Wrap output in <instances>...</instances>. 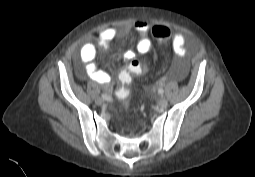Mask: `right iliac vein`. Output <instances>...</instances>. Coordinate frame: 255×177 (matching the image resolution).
Segmentation results:
<instances>
[{"mask_svg": "<svg viewBox=\"0 0 255 177\" xmlns=\"http://www.w3.org/2000/svg\"><path fill=\"white\" fill-rule=\"evenodd\" d=\"M95 102H96L97 105H101L103 103V99L100 98V97H97Z\"/></svg>", "mask_w": 255, "mask_h": 177, "instance_id": "right-iliac-vein-1", "label": "right iliac vein"}]
</instances>
